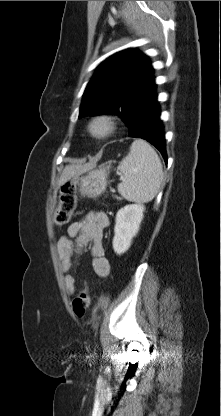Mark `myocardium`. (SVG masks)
<instances>
[{
  "mask_svg": "<svg viewBox=\"0 0 221 416\" xmlns=\"http://www.w3.org/2000/svg\"><path fill=\"white\" fill-rule=\"evenodd\" d=\"M116 122L111 115H95L88 124V132L95 139H106L114 133Z\"/></svg>",
  "mask_w": 221,
  "mask_h": 416,
  "instance_id": "obj_1",
  "label": "myocardium"
}]
</instances>
